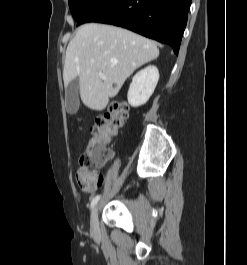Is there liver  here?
Wrapping results in <instances>:
<instances>
[{"label": "liver", "instance_id": "liver-1", "mask_svg": "<svg viewBox=\"0 0 247 265\" xmlns=\"http://www.w3.org/2000/svg\"><path fill=\"white\" fill-rule=\"evenodd\" d=\"M158 56L156 44L145 37L111 25L87 23L67 46L64 86L79 78L83 104L101 111L138 67ZM99 72L106 76L105 80Z\"/></svg>", "mask_w": 247, "mask_h": 265}]
</instances>
